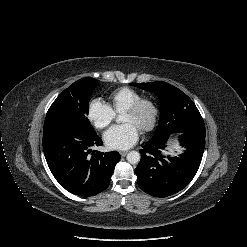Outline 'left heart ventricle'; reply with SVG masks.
Returning <instances> with one entry per match:
<instances>
[{"label":"left heart ventricle","mask_w":247,"mask_h":247,"mask_svg":"<svg viewBox=\"0 0 247 247\" xmlns=\"http://www.w3.org/2000/svg\"><path fill=\"white\" fill-rule=\"evenodd\" d=\"M151 114H152L151 107L149 105H145L137 113L124 111V113L122 114V122L133 123L138 128H141L144 124H146L150 120Z\"/></svg>","instance_id":"1"}]
</instances>
